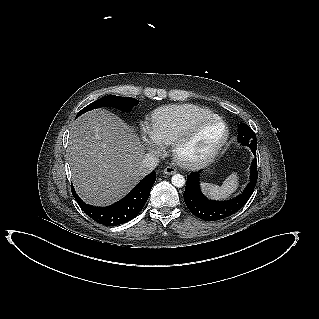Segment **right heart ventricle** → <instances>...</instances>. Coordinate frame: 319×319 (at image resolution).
<instances>
[{
	"mask_svg": "<svg viewBox=\"0 0 319 319\" xmlns=\"http://www.w3.org/2000/svg\"><path fill=\"white\" fill-rule=\"evenodd\" d=\"M214 115L210 109L193 104L163 106L151 114L150 128L162 143L170 145L195 121Z\"/></svg>",
	"mask_w": 319,
	"mask_h": 319,
	"instance_id": "1",
	"label": "right heart ventricle"
}]
</instances>
